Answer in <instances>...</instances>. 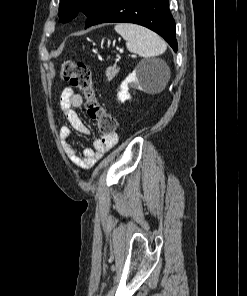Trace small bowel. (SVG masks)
I'll return each mask as SVG.
<instances>
[{
    "mask_svg": "<svg viewBox=\"0 0 247 296\" xmlns=\"http://www.w3.org/2000/svg\"><path fill=\"white\" fill-rule=\"evenodd\" d=\"M83 104L82 96L73 88H65L60 95V110L69 126H62L59 130L61 143L69 160L77 167L88 170L94 166L103 155L113 148L118 142V135L103 136L93 141L91 148L84 149L79 153L73 144L71 128L81 134H89L90 130L79 117L76 108Z\"/></svg>",
    "mask_w": 247,
    "mask_h": 296,
    "instance_id": "c3829d8e",
    "label": "small bowel"
}]
</instances>
